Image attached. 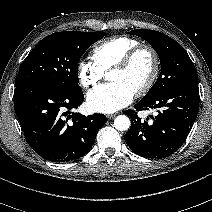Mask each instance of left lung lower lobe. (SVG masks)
Returning <instances> with one entry per match:
<instances>
[{
  "mask_svg": "<svg viewBox=\"0 0 212 212\" xmlns=\"http://www.w3.org/2000/svg\"><path fill=\"white\" fill-rule=\"evenodd\" d=\"M134 108L136 110L125 111L131 117V127L125 134L129 148L145 158L168 157L184 143L196 119L198 80L176 85L148 100H141ZM149 109H156L158 114L151 116L153 122H142L136 111Z\"/></svg>",
  "mask_w": 212,
  "mask_h": 212,
  "instance_id": "0a47b994",
  "label": "left lung lower lobe"
}]
</instances>
